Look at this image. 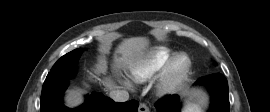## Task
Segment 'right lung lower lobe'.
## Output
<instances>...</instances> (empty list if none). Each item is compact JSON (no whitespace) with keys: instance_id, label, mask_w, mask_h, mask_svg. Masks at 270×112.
<instances>
[{"instance_id":"98d812e1","label":"right lung lower lobe","mask_w":270,"mask_h":112,"mask_svg":"<svg viewBox=\"0 0 270 112\" xmlns=\"http://www.w3.org/2000/svg\"><path fill=\"white\" fill-rule=\"evenodd\" d=\"M67 85L68 80L60 85L44 82L40 99V112H137L139 103L135 100L117 103L95 92L88 96L86 102L78 109H69L62 103V94Z\"/></svg>"}]
</instances>
